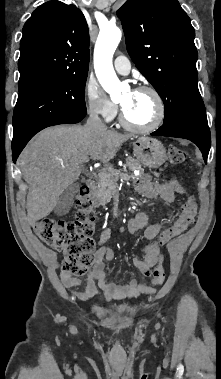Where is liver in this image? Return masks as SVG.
Listing matches in <instances>:
<instances>
[{
	"instance_id": "6515ba94",
	"label": "liver",
	"mask_w": 221,
	"mask_h": 379,
	"mask_svg": "<svg viewBox=\"0 0 221 379\" xmlns=\"http://www.w3.org/2000/svg\"><path fill=\"white\" fill-rule=\"evenodd\" d=\"M131 137L86 126H56L37 134L19 157L23 178L29 185L27 216L31 225L47 217L59 196L81 174L89 159L108 162Z\"/></svg>"
}]
</instances>
